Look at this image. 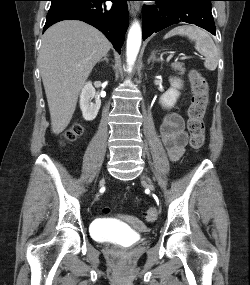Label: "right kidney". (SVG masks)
<instances>
[{"instance_id": "right-kidney-1", "label": "right kidney", "mask_w": 250, "mask_h": 285, "mask_svg": "<svg viewBox=\"0 0 250 285\" xmlns=\"http://www.w3.org/2000/svg\"><path fill=\"white\" fill-rule=\"evenodd\" d=\"M95 99V102H92ZM101 106L100 97L96 94L95 88L91 82H87L80 95V108L83 118L86 121H92L96 118Z\"/></svg>"}]
</instances>
